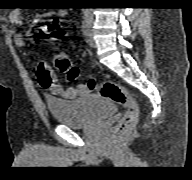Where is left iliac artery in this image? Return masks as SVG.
Here are the masks:
<instances>
[{
	"instance_id": "left-iliac-artery-1",
	"label": "left iliac artery",
	"mask_w": 192,
	"mask_h": 180,
	"mask_svg": "<svg viewBox=\"0 0 192 180\" xmlns=\"http://www.w3.org/2000/svg\"><path fill=\"white\" fill-rule=\"evenodd\" d=\"M91 24H92V16L90 14H85L84 21L82 24V31L84 34L87 33V31L91 27Z\"/></svg>"
}]
</instances>
